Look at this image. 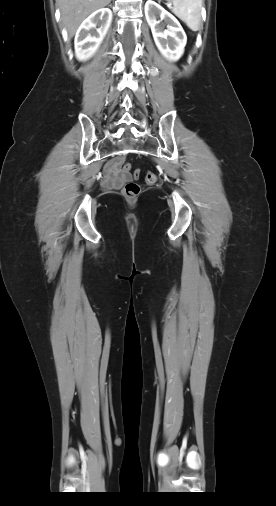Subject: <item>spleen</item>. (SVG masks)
<instances>
[{"label":"spleen","instance_id":"1","mask_svg":"<svg viewBox=\"0 0 276 506\" xmlns=\"http://www.w3.org/2000/svg\"><path fill=\"white\" fill-rule=\"evenodd\" d=\"M173 5V13L192 31H198L201 25L202 0H168Z\"/></svg>","mask_w":276,"mask_h":506}]
</instances>
